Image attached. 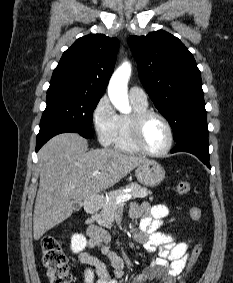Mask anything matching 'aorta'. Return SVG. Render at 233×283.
<instances>
[{"instance_id":"obj_1","label":"aorta","mask_w":233,"mask_h":283,"mask_svg":"<svg viewBox=\"0 0 233 283\" xmlns=\"http://www.w3.org/2000/svg\"><path fill=\"white\" fill-rule=\"evenodd\" d=\"M130 76L131 64L124 62L113 73L108 85L110 101L121 113H129L131 111L127 93V85Z\"/></svg>"}]
</instances>
